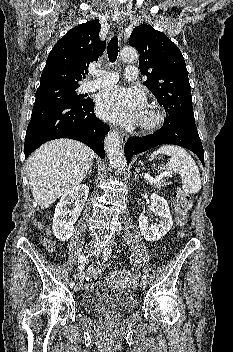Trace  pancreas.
Returning a JSON list of instances; mask_svg holds the SVG:
<instances>
[{
	"label": "pancreas",
	"instance_id": "1",
	"mask_svg": "<svg viewBox=\"0 0 233 352\" xmlns=\"http://www.w3.org/2000/svg\"><path fill=\"white\" fill-rule=\"evenodd\" d=\"M149 183L151 184V186H153L157 189H161L167 185V183L163 180H161L159 182H149Z\"/></svg>",
	"mask_w": 233,
	"mask_h": 352
}]
</instances>
